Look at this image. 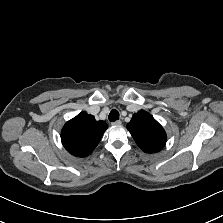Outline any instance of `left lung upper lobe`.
Instances as JSON below:
<instances>
[{
    "mask_svg": "<svg viewBox=\"0 0 223 223\" xmlns=\"http://www.w3.org/2000/svg\"><path fill=\"white\" fill-rule=\"evenodd\" d=\"M137 145L146 153L160 151L166 143L162 126L146 111L135 113L127 125Z\"/></svg>",
    "mask_w": 223,
    "mask_h": 223,
    "instance_id": "obj_1",
    "label": "left lung upper lobe"
}]
</instances>
